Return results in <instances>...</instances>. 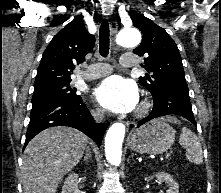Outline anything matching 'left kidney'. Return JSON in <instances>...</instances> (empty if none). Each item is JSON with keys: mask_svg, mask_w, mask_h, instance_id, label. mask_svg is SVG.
I'll return each instance as SVG.
<instances>
[{"mask_svg": "<svg viewBox=\"0 0 221 193\" xmlns=\"http://www.w3.org/2000/svg\"><path fill=\"white\" fill-rule=\"evenodd\" d=\"M155 176L159 183L165 182L168 185L166 193H179V186L170 174L158 172Z\"/></svg>", "mask_w": 221, "mask_h": 193, "instance_id": "obj_1", "label": "left kidney"}]
</instances>
